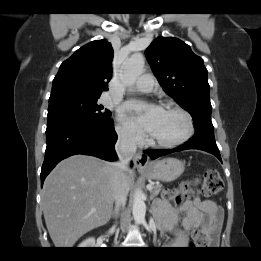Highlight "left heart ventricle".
<instances>
[{
  "label": "left heart ventricle",
  "instance_id": "b2bd125f",
  "mask_svg": "<svg viewBox=\"0 0 261 261\" xmlns=\"http://www.w3.org/2000/svg\"><path fill=\"white\" fill-rule=\"evenodd\" d=\"M184 130V120L178 113L162 110L154 130L150 133V138L169 141L179 137Z\"/></svg>",
  "mask_w": 261,
  "mask_h": 261
}]
</instances>
